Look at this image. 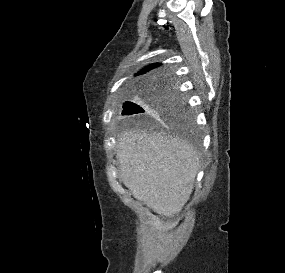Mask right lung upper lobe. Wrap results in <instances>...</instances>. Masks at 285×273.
<instances>
[{
	"instance_id": "cb5924a9",
	"label": "right lung upper lobe",
	"mask_w": 285,
	"mask_h": 273,
	"mask_svg": "<svg viewBox=\"0 0 285 273\" xmlns=\"http://www.w3.org/2000/svg\"><path fill=\"white\" fill-rule=\"evenodd\" d=\"M160 64H153V65H149L148 67L144 68L143 70H141L138 74H144L148 71H150L152 68L158 67ZM151 79V78H150Z\"/></svg>"
}]
</instances>
